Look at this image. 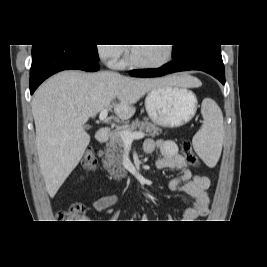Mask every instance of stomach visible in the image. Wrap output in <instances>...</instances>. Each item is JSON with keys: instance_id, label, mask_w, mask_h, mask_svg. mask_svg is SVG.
I'll return each mask as SVG.
<instances>
[{"instance_id": "obj_1", "label": "stomach", "mask_w": 267, "mask_h": 267, "mask_svg": "<svg viewBox=\"0 0 267 267\" xmlns=\"http://www.w3.org/2000/svg\"><path fill=\"white\" fill-rule=\"evenodd\" d=\"M145 108L155 124L170 128L179 127L194 117L197 98L187 87L162 86L148 92Z\"/></svg>"}]
</instances>
